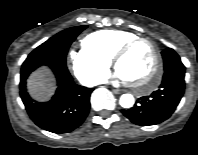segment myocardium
<instances>
[{"label":"myocardium","instance_id":"f54148a6","mask_svg":"<svg viewBox=\"0 0 198 155\" xmlns=\"http://www.w3.org/2000/svg\"><path fill=\"white\" fill-rule=\"evenodd\" d=\"M140 42L148 43L151 46L154 53V63L150 73L143 82H130V84L132 87H135L139 92L145 94L152 91L158 85L162 68V56L160 50L157 44L152 39L137 36L133 39L128 40L116 50L112 57V62L113 65L117 67V63L119 62V60L123 58L134 46H136Z\"/></svg>","mask_w":198,"mask_h":155}]
</instances>
